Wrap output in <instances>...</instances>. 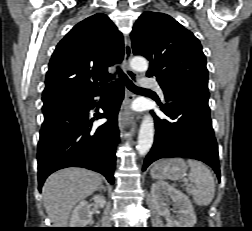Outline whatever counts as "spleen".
I'll return each mask as SVG.
<instances>
[{
  "instance_id": "1",
  "label": "spleen",
  "mask_w": 252,
  "mask_h": 231,
  "mask_svg": "<svg viewBox=\"0 0 252 231\" xmlns=\"http://www.w3.org/2000/svg\"><path fill=\"white\" fill-rule=\"evenodd\" d=\"M190 166L189 180L194 184L189 188L196 204L200 206L209 205L215 195V182L211 171L201 162L189 159Z\"/></svg>"
}]
</instances>
